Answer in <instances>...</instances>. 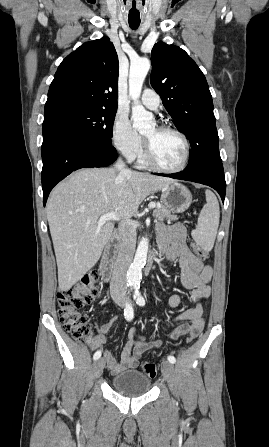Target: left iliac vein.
Returning <instances> with one entry per match:
<instances>
[{
	"instance_id": "obj_1",
	"label": "left iliac vein",
	"mask_w": 269,
	"mask_h": 447,
	"mask_svg": "<svg viewBox=\"0 0 269 447\" xmlns=\"http://www.w3.org/2000/svg\"><path fill=\"white\" fill-rule=\"evenodd\" d=\"M162 374L166 381H170L174 375V366L169 361L162 362Z\"/></svg>"
}]
</instances>
